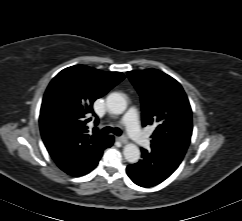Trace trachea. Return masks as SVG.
Listing matches in <instances>:
<instances>
[{
    "label": "trachea",
    "mask_w": 242,
    "mask_h": 221,
    "mask_svg": "<svg viewBox=\"0 0 242 221\" xmlns=\"http://www.w3.org/2000/svg\"><path fill=\"white\" fill-rule=\"evenodd\" d=\"M102 133H113L117 136H120L122 134V131L119 128H111V127H104L101 129Z\"/></svg>",
    "instance_id": "1"
}]
</instances>
